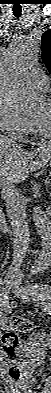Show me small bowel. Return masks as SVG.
<instances>
[{
  "mask_svg": "<svg viewBox=\"0 0 51 393\" xmlns=\"http://www.w3.org/2000/svg\"><path fill=\"white\" fill-rule=\"evenodd\" d=\"M1 323L3 326H5L6 321L4 319H2Z\"/></svg>",
  "mask_w": 51,
  "mask_h": 393,
  "instance_id": "obj_1",
  "label": "small bowel"
}]
</instances>
